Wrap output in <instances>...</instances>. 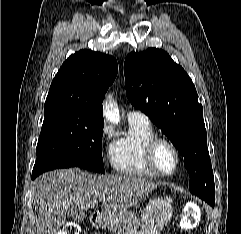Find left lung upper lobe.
<instances>
[{
	"label": "left lung upper lobe",
	"instance_id": "5c2ea615",
	"mask_svg": "<svg viewBox=\"0 0 241 234\" xmlns=\"http://www.w3.org/2000/svg\"><path fill=\"white\" fill-rule=\"evenodd\" d=\"M126 96L171 140L184 158L192 194L214 206V176L203 108L191 78L167 52L149 48L124 62Z\"/></svg>",
	"mask_w": 241,
	"mask_h": 234
}]
</instances>
